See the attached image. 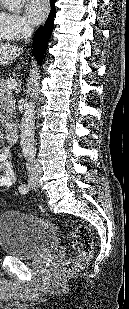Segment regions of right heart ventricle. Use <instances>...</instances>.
<instances>
[{
  "label": "right heart ventricle",
  "instance_id": "1",
  "mask_svg": "<svg viewBox=\"0 0 129 309\" xmlns=\"http://www.w3.org/2000/svg\"><path fill=\"white\" fill-rule=\"evenodd\" d=\"M8 40L5 35L3 34L1 28H0V41Z\"/></svg>",
  "mask_w": 129,
  "mask_h": 309
}]
</instances>
